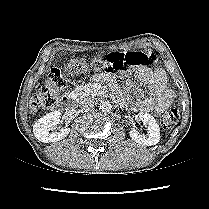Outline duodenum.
Instances as JSON below:
<instances>
[{
  "label": "duodenum",
  "instance_id": "obj_1",
  "mask_svg": "<svg viewBox=\"0 0 209 209\" xmlns=\"http://www.w3.org/2000/svg\"><path fill=\"white\" fill-rule=\"evenodd\" d=\"M76 101V96L74 94H68L63 99L62 102L65 106L72 108Z\"/></svg>",
  "mask_w": 209,
  "mask_h": 209
}]
</instances>
